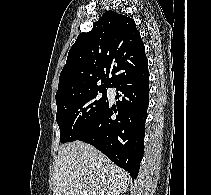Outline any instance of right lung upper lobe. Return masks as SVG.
<instances>
[{"label": "right lung upper lobe", "instance_id": "right-lung-upper-lobe-1", "mask_svg": "<svg viewBox=\"0 0 211 195\" xmlns=\"http://www.w3.org/2000/svg\"><path fill=\"white\" fill-rule=\"evenodd\" d=\"M146 66L144 44L134 20L106 11L91 31L78 35L69 50L59 77L56 104L112 87L121 77Z\"/></svg>", "mask_w": 211, "mask_h": 195}]
</instances>
